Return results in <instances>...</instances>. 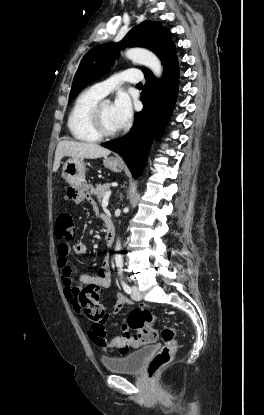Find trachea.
Listing matches in <instances>:
<instances>
[{"label": "trachea", "instance_id": "1", "mask_svg": "<svg viewBox=\"0 0 264 415\" xmlns=\"http://www.w3.org/2000/svg\"><path fill=\"white\" fill-rule=\"evenodd\" d=\"M137 86L138 87H142L143 85H142V83H138Z\"/></svg>", "mask_w": 264, "mask_h": 415}]
</instances>
